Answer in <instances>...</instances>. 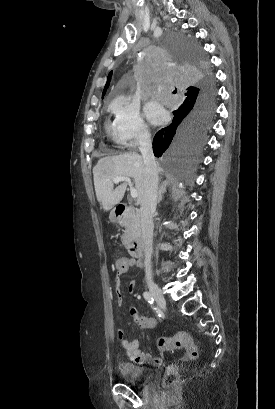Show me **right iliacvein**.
I'll use <instances>...</instances> for the list:
<instances>
[{"label":"right iliac vein","instance_id":"obj_1","mask_svg":"<svg viewBox=\"0 0 275 409\" xmlns=\"http://www.w3.org/2000/svg\"><path fill=\"white\" fill-rule=\"evenodd\" d=\"M148 287L150 289L151 294L153 295L154 299L157 301L158 305L161 308H164L166 305V300L162 290L158 287V285L154 282H149Z\"/></svg>","mask_w":275,"mask_h":409}]
</instances>
